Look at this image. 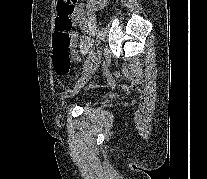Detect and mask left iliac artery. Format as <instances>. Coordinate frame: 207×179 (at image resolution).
Returning <instances> with one entry per match:
<instances>
[{
	"mask_svg": "<svg viewBox=\"0 0 207 179\" xmlns=\"http://www.w3.org/2000/svg\"><path fill=\"white\" fill-rule=\"evenodd\" d=\"M95 60V50H92L90 52V56L88 57V59L85 61L84 67H83V72L86 71L87 67L90 64H93Z\"/></svg>",
	"mask_w": 207,
	"mask_h": 179,
	"instance_id": "1",
	"label": "left iliac artery"
}]
</instances>
